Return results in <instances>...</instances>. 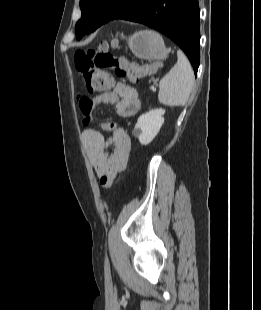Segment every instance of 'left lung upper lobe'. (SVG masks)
Returning a JSON list of instances; mask_svg holds the SVG:
<instances>
[{"label": "left lung upper lobe", "instance_id": "1", "mask_svg": "<svg viewBox=\"0 0 261 310\" xmlns=\"http://www.w3.org/2000/svg\"><path fill=\"white\" fill-rule=\"evenodd\" d=\"M131 0H80L81 19L76 24V37L86 34L94 23L105 24L118 18L129 7Z\"/></svg>", "mask_w": 261, "mask_h": 310}]
</instances>
